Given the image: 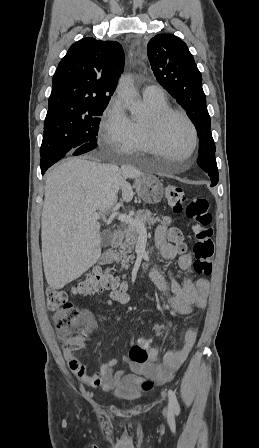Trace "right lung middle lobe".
Returning a JSON list of instances; mask_svg holds the SVG:
<instances>
[{"mask_svg":"<svg viewBox=\"0 0 259 448\" xmlns=\"http://www.w3.org/2000/svg\"><path fill=\"white\" fill-rule=\"evenodd\" d=\"M106 106L82 112L47 113L40 156L81 155L97 146L96 136Z\"/></svg>","mask_w":259,"mask_h":448,"instance_id":"right-lung-middle-lobe-1","label":"right lung middle lobe"}]
</instances>
